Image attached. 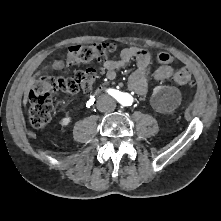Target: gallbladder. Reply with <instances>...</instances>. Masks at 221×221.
<instances>
[{
    "mask_svg": "<svg viewBox=\"0 0 221 221\" xmlns=\"http://www.w3.org/2000/svg\"><path fill=\"white\" fill-rule=\"evenodd\" d=\"M63 67H64V62H62V61H55L53 63L54 69H62Z\"/></svg>",
    "mask_w": 221,
    "mask_h": 221,
    "instance_id": "gallbladder-1",
    "label": "gallbladder"
}]
</instances>
